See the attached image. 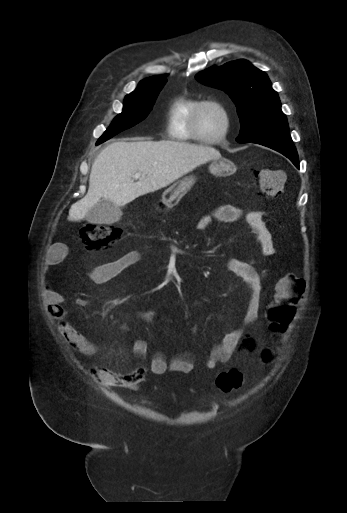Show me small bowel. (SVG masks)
<instances>
[{"mask_svg":"<svg viewBox=\"0 0 347 513\" xmlns=\"http://www.w3.org/2000/svg\"><path fill=\"white\" fill-rule=\"evenodd\" d=\"M226 224H247L254 234V241L257 246V254H254L246 261L233 260L227 264L228 270L236 273H243L247 277L249 298L243 316V324L236 326L231 331L225 333L220 340L211 348L205 361V367L215 368L218 364L229 362L242 344H248L252 341L251 336L246 332L245 326L252 324L258 317L259 296H260V277L255 271V265L258 262L257 255L264 257L274 254L275 249L273 241L267 228L262 214L260 212L244 213L237 207L231 205H222L203 215L198 223L197 229L207 230L213 223ZM64 245L55 243L44 259L42 273V287L44 299L48 305L51 314L59 321L58 329L65 338L81 354L91 357L96 353L95 345L83 334L76 330L66 319V310L63 307L64 297L62 293L53 289L48 280L49 268L57 265L63 259ZM143 260L142 253L138 250L127 252L121 257L102 265L97 266L91 273L92 281L96 284H104L125 270L136 266ZM80 306H85L83 299H78ZM156 316L155 311H148L143 318L152 322ZM148 344L143 339H136L132 343V351L138 358H145L147 355ZM274 361V360H273ZM273 361H263L264 364H270ZM194 369V362L190 355H176L167 358L165 354L157 352L153 355L149 370L153 374L161 375L166 372L189 373ZM147 368L137 366L130 373L119 375L115 371L106 368H97L92 370L94 379L108 386H120L129 389H136L143 380Z\"/></svg>","mask_w":347,"mask_h":513,"instance_id":"c3829d8e","label":"small bowel"}]
</instances>
